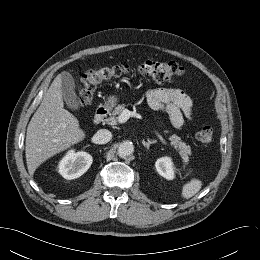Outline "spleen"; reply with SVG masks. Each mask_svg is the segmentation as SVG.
<instances>
[{
    "mask_svg": "<svg viewBox=\"0 0 260 260\" xmlns=\"http://www.w3.org/2000/svg\"><path fill=\"white\" fill-rule=\"evenodd\" d=\"M201 187L202 181L197 178H193L183 185L181 195L183 198L189 199L197 194L200 191Z\"/></svg>",
    "mask_w": 260,
    "mask_h": 260,
    "instance_id": "1",
    "label": "spleen"
}]
</instances>
